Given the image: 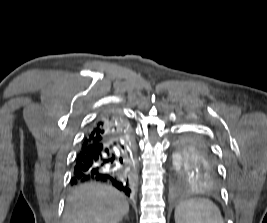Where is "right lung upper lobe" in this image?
I'll return each instance as SVG.
<instances>
[{
    "mask_svg": "<svg viewBox=\"0 0 267 223\" xmlns=\"http://www.w3.org/2000/svg\"><path fill=\"white\" fill-rule=\"evenodd\" d=\"M129 124L125 118L117 113L104 114L99 117L89 129L83 139V146L98 143L106 138L117 136Z\"/></svg>",
    "mask_w": 267,
    "mask_h": 223,
    "instance_id": "obj_1",
    "label": "right lung upper lobe"
}]
</instances>
